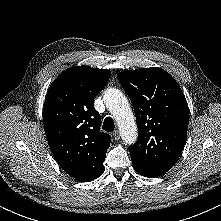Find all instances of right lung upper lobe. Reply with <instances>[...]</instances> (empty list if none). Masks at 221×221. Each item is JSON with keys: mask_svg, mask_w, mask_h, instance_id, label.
I'll list each match as a JSON object with an SVG mask.
<instances>
[{"mask_svg": "<svg viewBox=\"0 0 221 221\" xmlns=\"http://www.w3.org/2000/svg\"><path fill=\"white\" fill-rule=\"evenodd\" d=\"M110 76L109 70L75 66L47 91L43 122L49 147L61 168L78 181H92L104 172L111 140L99 132L101 118L93 101Z\"/></svg>", "mask_w": 221, "mask_h": 221, "instance_id": "cb5924a9", "label": "right lung upper lobe"}]
</instances>
